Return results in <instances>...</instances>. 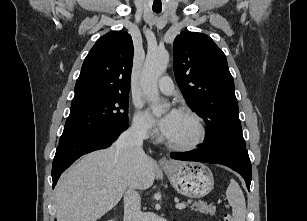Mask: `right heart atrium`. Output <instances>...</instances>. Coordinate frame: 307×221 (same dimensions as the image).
Wrapping results in <instances>:
<instances>
[{
  "mask_svg": "<svg viewBox=\"0 0 307 221\" xmlns=\"http://www.w3.org/2000/svg\"><path fill=\"white\" fill-rule=\"evenodd\" d=\"M132 127L135 133L143 139H153L156 136V131L149 118L139 107L134 114Z\"/></svg>",
  "mask_w": 307,
  "mask_h": 221,
  "instance_id": "obj_1",
  "label": "right heart atrium"
}]
</instances>
